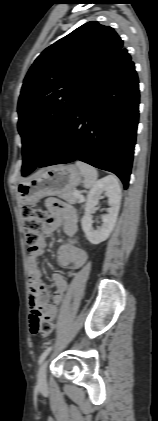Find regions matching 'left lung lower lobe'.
I'll use <instances>...</instances> for the list:
<instances>
[{
  "label": "left lung lower lobe",
  "mask_w": 158,
  "mask_h": 421,
  "mask_svg": "<svg viewBox=\"0 0 158 421\" xmlns=\"http://www.w3.org/2000/svg\"><path fill=\"white\" fill-rule=\"evenodd\" d=\"M138 106L137 73L127 49L122 46L75 105L40 167L79 159L113 172L126 189L133 161Z\"/></svg>",
  "instance_id": "left-lung-lower-lobe-1"
}]
</instances>
